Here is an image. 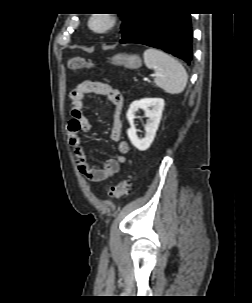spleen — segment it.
Instances as JSON below:
<instances>
[{"label": "spleen", "instance_id": "1", "mask_svg": "<svg viewBox=\"0 0 252 303\" xmlns=\"http://www.w3.org/2000/svg\"><path fill=\"white\" fill-rule=\"evenodd\" d=\"M143 58L146 67L155 71L157 87L170 94L184 91L188 75L179 61L155 48L145 50Z\"/></svg>", "mask_w": 252, "mask_h": 303}]
</instances>
